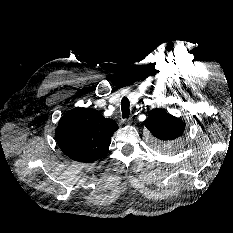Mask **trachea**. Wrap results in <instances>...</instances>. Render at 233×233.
Here are the masks:
<instances>
[{
	"mask_svg": "<svg viewBox=\"0 0 233 233\" xmlns=\"http://www.w3.org/2000/svg\"><path fill=\"white\" fill-rule=\"evenodd\" d=\"M121 110L123 119L128 118L130 115V104L126 97L121 100Z\"/></svg>",
	"mask_w": 233,
	"mask_h": 233,
	"instance_id": "1",
	"label": "trachea"
}]
</instances>
